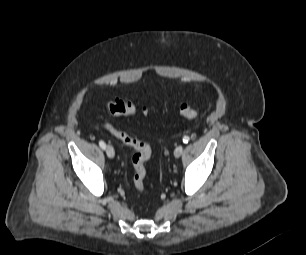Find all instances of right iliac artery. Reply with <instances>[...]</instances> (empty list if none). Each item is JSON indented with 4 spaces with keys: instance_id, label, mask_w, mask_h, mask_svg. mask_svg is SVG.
<instances>
[{
    "instance_id": "obj_1",
    "label": "right iliac artery",
    "mask_w": 306,
    "mask_h": 255,
    "mask_svg": "<svg viewBox=\"0 0 306 255\" xmlns=\"http://www.w3.org/2000/svg\"><path fill=\"white\" fill-rule=\"evenodd\" d=\"M99 145H100V147L102 148V149H105L106 148V144H105V142L104 141H99Z\"/></svg>"
}]
</instances>
